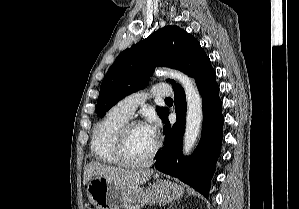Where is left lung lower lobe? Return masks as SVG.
Here are the masks:
<instances>
[{
  "label": "left lung lower lobe",
  "instance_id": "obj_1",
  "mask_svg": "<svg viewBox=\"0 0 299 209\" xmlns=\"http://www.w3.org/2000/svg\"><path fill=\"white\" fill-rule=\"evenodd\" d=\"M192 77L195 78L203 101L204 121L200 142L191 156L186 158L182 156L186 99L184 90L177 85L174 87L177 121L172 127L170 126L169 111L163 118L166 124L165 144L164 149L156 155L157 162L153 168L180 179L208 197L211 177L215 172L216 161L221 152L224 117L216 73L209 58Z\"/></svg>",
  "mask_w": 299,
  "mask_h": 209
}]
</instances>
